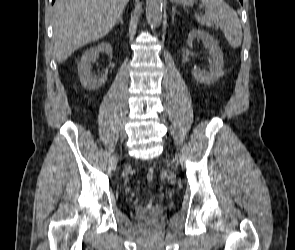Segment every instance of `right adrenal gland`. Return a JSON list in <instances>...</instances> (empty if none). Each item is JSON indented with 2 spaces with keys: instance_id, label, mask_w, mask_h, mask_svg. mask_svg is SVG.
I'll use <instances>...</instances> for the list:
<instances>
[{
  "instance_id": "obj_1",
  "label": "right adrenal gland",
  "mask_w": 295,
  "mask_h": 250,
  "mask_svg": "<svg viewBox=\"0 0 295 250\" xmlns=\"http://www.w3.org/2000/svg\"><path fill=\"white\" fill-rule=\"evenodd\" d=\"M123 23V17H122V15L119 17V19L117 20V23Z\"/></svg>"
}]
</instances>
